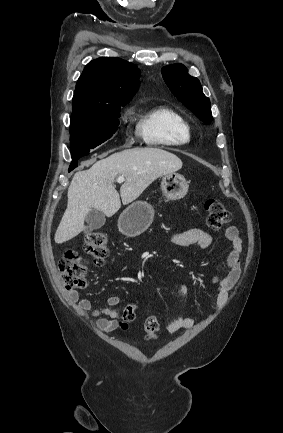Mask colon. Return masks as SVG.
<instances>
[{
	"label": "colon",
	"mask_w": 283,
	"mask_h": 433,
	"mask_svg": "<svg viewBox=\"0 0 283 433\" xmlns=\"http://www.w3.org/2000/svg\"><path fill=\"white\" fill-rule=\"evenodd\" d=\"M205 221L208 227L219 229L229 222L231 216L224 205L218 200H208L205 203ZM84 250L91 260L98 266L104 264L109 253L108 237L103 232H92L84 240ZM59 270L65 288L69 291L85 287L86 263L77 254L68 251L59 262ZM136 305L127 304L122 312L121 327L126 329L135 319ZM160 329L157 317L150 316L145 320L144 330L147 339H155Z\"/></svg>",
	"instance_id": "1"
}]
</instances>
